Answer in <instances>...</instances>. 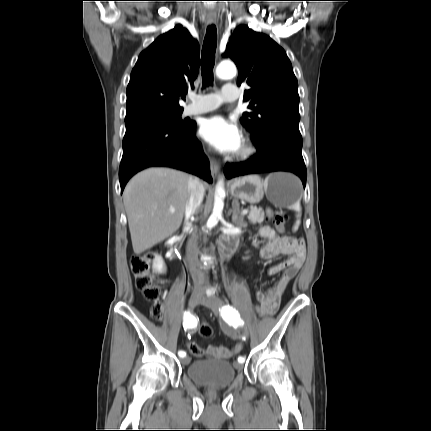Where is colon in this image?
Segmentation results:
<instances>
[{
	"label": "colon",
	"mask_w": 431,
	"mask_h": 431,
	"mask_svg": "<svg viewBox=\"0 0 431 431\" xmlns=\"http://www.w3.org/2000/svg\"><path fill=\"white\" fill-rule=\"evenodd\" d=\"M266 215L268 218L274 219V224L278 231L283 232L285 230L286 219H276V212L272 208L266 209ZM155 261L156 254L153 252L134 256L130 261V268L135 278L136 288L143 294L145 299L153 303L151 308L152 317L156 320H160L163 316V306L159 302L161 287L159 282L156 281L155 273L152 269ZM254 311L257 315L262 314L260 305H255ZM200 317H203V314H200ZM199 334L205 338L212 335V327L206 322V319H203V322L199 325ZM186 343L185 347L189 350V355H191L194 360L203 358L204 350L195 339H188ZM243 348L244 341H236L235 347H231V358H236V355H239Z\"/></svg>",
	"instance_id": "5ec220e1"
}]
</instances>
